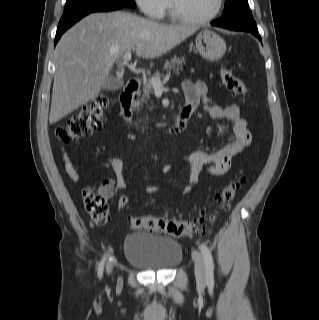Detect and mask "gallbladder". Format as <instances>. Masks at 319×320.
<instances>
[{
    "label": "gallbladder",
    "instance_id": "gallbladder-1",
    "mask_svg": "<svg viewBox=\"0 0 319 320\" xmlns=\"http://www.w3.org/2000/svg\"><path fill=\"white\" fill-rule=\"evenodd\" d=\"M123 80L118 77L109 76L103 86V89L108 91H116L123 87Z\"/></svg>",
    "mask_w": 319,
    "mask_h": 320
}]
</instances>
